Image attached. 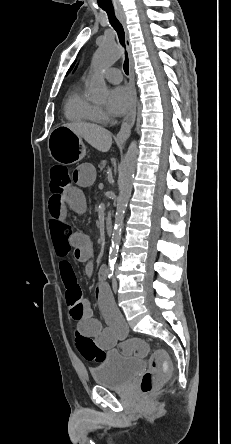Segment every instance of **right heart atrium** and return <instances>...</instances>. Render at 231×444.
I'll return each mask as SVG.
<instances>
[{
    "mask_svg": "<svg viewBox=\"0 0 231 444\" xmlns=\"http://www.w3.org/2000/svg\"><path fill=\"white\" fill-rule=\"evenodd\" d=\"M96 114L98 121H106L109 118L106 111L101 107H96Z\"/></svg>",
    "mask_w": 231,
    "mask_h": 444,
    "instance_id": "right-heart-atrium-1",
    "label": "right heart atrium"
}]
</instances>
